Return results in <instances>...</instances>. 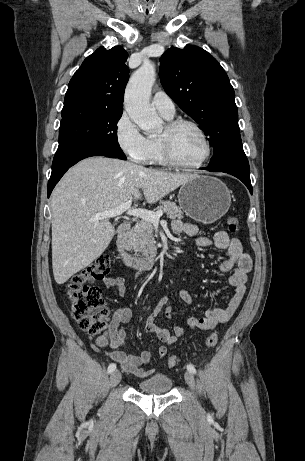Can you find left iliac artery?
Masks as SVG:
<instances>
[{"label": "left iliac artery", "mask_w": 305, "mask_h": 461, "mask_svg": "<svg viewBox=\"0 0 305 461\" xmlns=\"http://www.w3.org/2000/svg\"><path fill=\"white\" fill-rule=\"evenodd\" d=\"M187 370L190 371V372L193 373V374L196 373V369H195V367H194L192 364H188V365H187Z\"/></svg>", "instance_id": "1"}]
</instances>
